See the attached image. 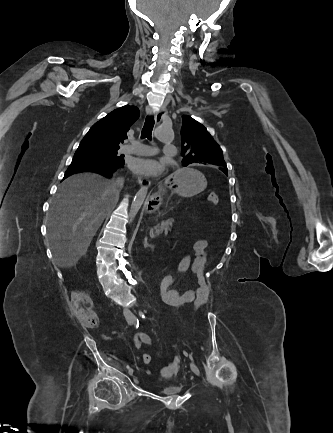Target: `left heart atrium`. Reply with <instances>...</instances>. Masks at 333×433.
<instances>
[{"label": "left heart atrium", "instance_id": "obj_1", "mask_svg": "<svg viewBox=\"0 0 333 433\" xmlns=\"http://www.w3.org/2000/svg\"><path fill=\"white\" fill-rule=\"evenodd\" d=\"M130 168L137 174L158 175L162 171L161 164L151 158H134L130 162Z\"/></svg>", "mask_w": 333, "mask_h": 433}]
</instances>
